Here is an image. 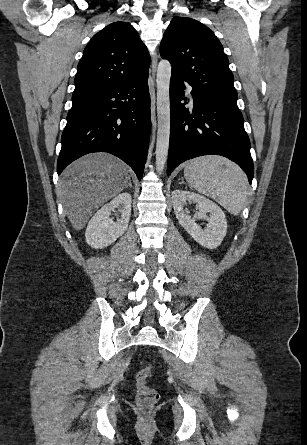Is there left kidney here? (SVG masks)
Listing matches in <instances>:
<instances>
[{
    "mask_svg": "<svg viewBox=\"0 0 307 445\" xmlns=\"http://www.w3.org/2000/svg\"><path fill=\"white\" fill-rule=\"evenodd\" d=\"M171 198L181 227L202 247L217 249L227 233L226 216L222 208L206 196L197 194V192H189V190H173ZM186 200L196 202L197 208H199L193 218L188 210L183 208L184 204H187ZM206 212H210L209 216ZM195 218H205L208 223L207 227L200 229L199 225L195 223Z\"/></svg>",
    "mask_w": 307,
    "mask_h": 445,
    "instance_id": "left-kidney-1",
    "label": "left kidney"
}]
</instances>
